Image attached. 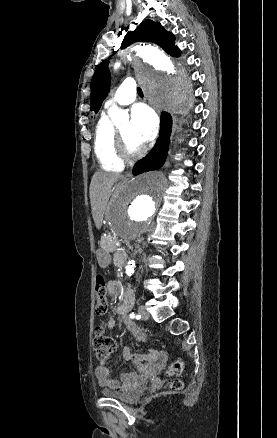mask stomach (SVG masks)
Returning <instances> with one entry per match:
<instances>
[{
	"mask_svg": "<svg viewBox=\"0 0 277 438\" xmlns=\"http://www.w3.org/2000/svg\"><path fill=\"white\" fill-rule=\"evenodd\" d=\"M97 260L99 265L105 268L111 263V256L108 252L100 250L97 253Z\"/></svg>",
	"mask_w": 277,
	"mask_h": 438,
	"instance_id": "obj_1",
	"label": "stomach"
}]
</instances>
